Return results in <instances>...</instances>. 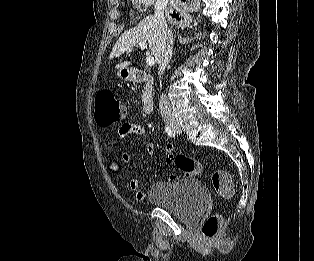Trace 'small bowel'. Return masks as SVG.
<instances>
[{
  "label": "small bowel",
  "instance_id": "obj_1",
  "mask_svg": "<svg viewBox=\"0 0 314 261\" xmlns=\"http://www.w3.org/2000/svg\"><path fill=\"white\" fill-rule=\"evenodd\" d=\"M118 134L122 138L131 136V135H140V136L148 138L147 130L142 125H139L137 123H132V122H128V123L123 124L120 127V129L118 130ZM145 151H146L147 155H149V156H152L154 154L155 145L150 139H147V142L145 145ZM165 152H166V157L168 155H173V146L171 144L166 145ZM166 162H167V160H166ZM141 185H142V181L140 179H132L129 182L130 189L133 191H137V193H136V199L137 200H142L144 198L143 192L138 191L139 188L141 187Z\"/></svg>",
  "mask_w": 314,
  "mask_h": 261
}]
</instances>
